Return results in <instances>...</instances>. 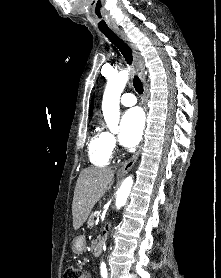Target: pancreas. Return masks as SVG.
Instances as JSON below:
<instances>
[{"label":"pancreas","mask_w":221,"mask_h":278,"mask_svg":"<svg viewBox=\"0 0 221 278\" xmlns=\"http://www.w3.org/2000/svg\"><path fill=\"white\" fill-rule=\"evenodd\" d=\"M96 212V211H95ZM92 213L89 217V220H88V225H91L92 227L95 225L94 222H95V217H98L96 214Z\"/></svg>","instance_id":"1"}]
</instances>
